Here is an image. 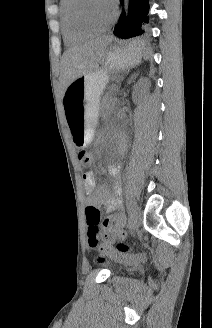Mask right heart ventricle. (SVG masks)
Masks as SVG:
<instances>
[{
  "instance_id": "e07e8e85",
  "label": "right heart ventricle",
  "mask_w": 212,
  "mask_h": 328,
  "mask_svg": "<svg viewBox=\"0 0 212 328\" xmlns=\"http://www.w3.org/2000/svg\"><path fill=\"white\" fill-rule=\"evenodd\" d=\"M72 3V0L60 1V22L62 32L64 40L70 45L81 42L95 34L94 32L79 29L73 24L70 16Z\"/></svg>"
}]
</instances>
